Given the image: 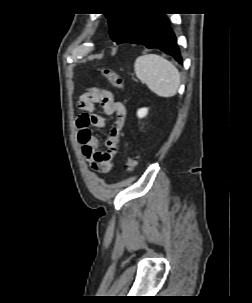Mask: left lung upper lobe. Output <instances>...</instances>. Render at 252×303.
Here are the masks:
<instances>
[{
	"label": "left lung upper lobe",
	"mask_w": 252,
	"mask_h": 303,
	"mask_svg": "<svg viewBox=\"0 0 252 303\" xmlns=\"http://www.w3.org/2000/svg\"><path fill=\"white\" fill-rule=\"evenodd\" d=\"M108 18L109 32L113 41L120 42L146 15V13L105 14Z\"/></svg>",
	"instance_id": "1"
}]
</instances>
